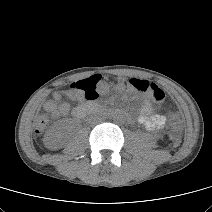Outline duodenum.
<instances>
[{
  "mask_svg": "<svg viewBox=\"0 0 212 212\" xmlns=\"http://www.w3.org/2000/svg\"><path fill=\"white\" fill-rule=\"evenodd\" d=\"M96 108H100L98 105H96L95 103L92 102H87V103H83L80 104L76 107L75 111H74V117L76 119H80L82 118L87 112L96 109Z\"/></svg>",
  "mask_w": 212,
  "mask_h": 212,
  "instance_id": "obj_1",
  "label": "duodenum"
}]
</instances>
